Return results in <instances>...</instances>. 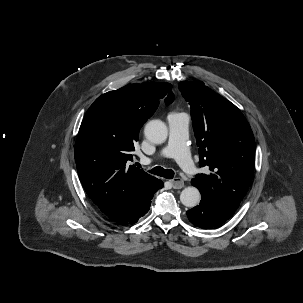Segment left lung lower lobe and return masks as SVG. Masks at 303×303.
<instances>
[{
	"label": "left lung lower lobe",
	"mask_w": 303,
	"mask_h": 303,
	"mask_svg": "<svg viewBox=\"0 0 303 303\" xmlns=\"http://www.w3.org/2000/svg\"><path fill=\"white\" fill-rule=\"evenodd\" d=\"M235 211L236 209L225 201L209 194H202L201 203L187 211V216L193 225L210 229L223 224Z\"/></svg>",
	"instance_id": "1"
}]
</instances>
